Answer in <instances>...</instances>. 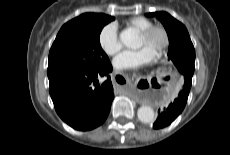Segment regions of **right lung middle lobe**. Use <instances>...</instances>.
I'll return each instance as SVG.
<instances>
[{
    "label": "right lung middle lobe",
    "instance_id": "1",
    "mask_svg": "<svg viewBox=\"0 0 230 155\" xmlns=\"http://www.w3.org/2000/svg\"><path fill=\"white\" fill-rule=\"evenodd\" d=\"M114 17L102 14L88 24L61 28L49 53L47 72L57 69L99 68L110 61L99 36Z\"/></svg>",
    "mask_w": 230,
    "mask_h": 155
}]
</instances>
